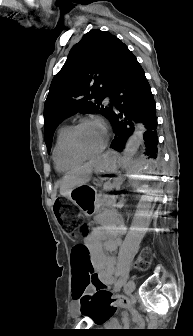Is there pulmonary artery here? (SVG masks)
<instances>
[{
	"label": "pulmonary artery",
	"instance_id": "obj_1",
	"mask_svg": "<svg viewBox=\"0 0 193 336\" xmlns=\"http://www.w3.org/2000/svg\"><path fill=\"white\" fill-rule=\"evenodd\" d=\"M105 102H106V103H112V100H111L110 98H106V99H105Z\"/></svg>",
	"mask_w": 193,
	"mask_h": 336
}]
</instances>
